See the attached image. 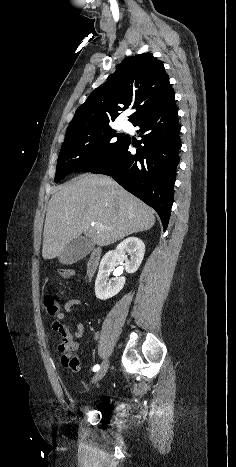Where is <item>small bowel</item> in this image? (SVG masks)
Segmentation results:
<instances>
[{"mask_svg":"<svg viewBox=\"0 0 236 467\" xmlns=\"http://www.w3.org/2000/svg\"><path fill=\"white\" fill-rule=\"evenodd\" d=\"M82 306V300L78 297H73L65 303L64 311L70 313L75 309H81ZM65 312L57 314L56 320L52 322V328L58 331L62 336V342L58 346L61 365L73 372H78L80 369L79 362L76 357L71 356V352L78 349V340L84 334L85 325L82 321H78L73 330L62 325L61 322L66 318ZM73 358H75V361H73Z\"/></svg>","mask_w":236,"mask_h":467,"instance_id":"small-bowel-1","label":"small bowel"}]
</instances>
